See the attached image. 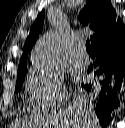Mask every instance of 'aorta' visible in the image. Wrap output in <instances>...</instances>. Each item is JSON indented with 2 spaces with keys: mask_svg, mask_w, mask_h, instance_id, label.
Instances as JSON below:
<instances>
[{
  "mask_svg": "<svg viewBox=\"0 0 125 128\" xmlns=\"http://www.w3.org/2000/svg\"><path fill=\"white\" fill-rule=\"evenodd\" d=\"M59 43L60 39L56 33L45 35L37 43L32 61L37 65L50 67L54 61Z\"/></svg>",
  "mask_w": 125,
  "mask_h": 128,
  "instance_id": "1",
  "label": "aorta"
}]
</instances>
